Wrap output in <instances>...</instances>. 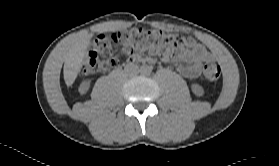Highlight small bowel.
Returning a JSON list of instances; mask_svg holds the SVG:
<instances>
[{"mask_svg": "<svg viewBox=\"0 0 279 166\" xmlns=\"http://www.w3.org/2000/svg\"><path fill=\"white\" fill-rule=\"evenodd\" d=\"M210 58L209 52L201 45H195L190 51L184 53L181 59L186 65L180 66L179 72L186 78H195L200 73L201 64ZM165 61L169 60L168 55H164Z\"/></svg>", "mask_w": 279, "mask_h": 166, "instance_id": "1", "label": "small bowel"}]
</instances>
